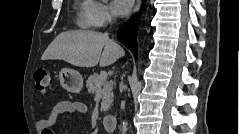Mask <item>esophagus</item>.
Listing matches in <instances>:
<instances>
[{"label":"esophagus","mask_w":239,"mask_h":134,"mask_svg":"<svg viewBox=\"0 0 239 134\" xmlns=\"http://www.w3.org/2000/svg\"><path fill=\"white\" fill-rule=\"evenodd\" d=\"M141 5H142V0H138L137 4H136V7L134 9V14H136L140 10Z\"/></svg>","instance_id":"obj_1"}]
</instances>
